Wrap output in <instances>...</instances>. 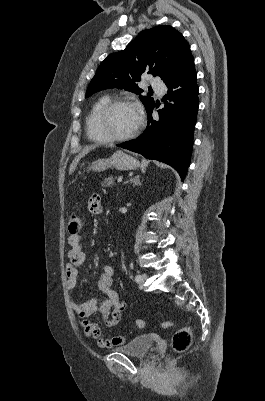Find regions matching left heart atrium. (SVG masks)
Returning <instances> with one entry per match:
<instances>
[{
  "label": "left heart atrium",
  "mask_w": 265,
  "mask_h": 401,
  "mask_svg": "<svg viewBox=\"0 0 265 401\" xmlns=\"http://www.w3.org/2000/svg\"><path fill=\"white\" fill-rule=\"evenodd\" d=\"M133 107H134V109H135L137 115L139 116V115H140V109H139V107H138V106H133Z\"/></svg>",
  "instance_id": "39dd6f15"
}]
</instances>
